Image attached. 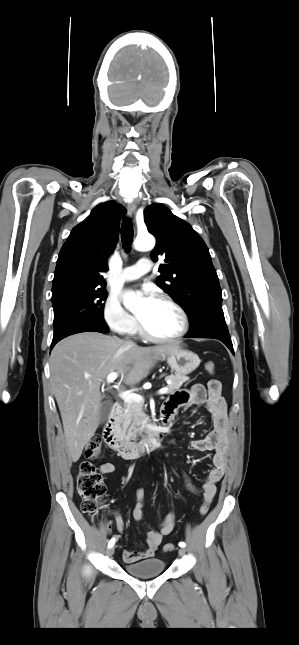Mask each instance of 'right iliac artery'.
<instances>
[{
	"label": "right iliac artery",
	"mask_w": 299,
	"mask_h": 645,
	"mask_svg": "<svg viewBox=\"0 0 299 645\" xmlns=\"http://www.w3.org/2000/svg\"><path fill=\"white\" fill-rule=\"evenodd\" d=\"M115 544V539L112 538L108 543V548L112 547Z\"/></svg>",
	"instance_id": "right-iliac-artery-1"
}]
</instances>
